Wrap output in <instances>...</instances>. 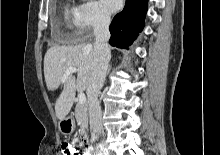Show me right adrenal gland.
Returning a JSON list of instances; mask_svg holds the SVG:
<instances>
[{
	"label": "right adrenal gland",
	"mask_w": 220,
	"mask_h": 155,
	"mask_svg": "<svg viewBox=\"0 0 220 155\" xmlns=\"http://www.w3.org/2000/svg\"><path fill=\"white\" fill-rule=\"evenodd\" d=\"M110 68H111V66L109 65V69H108V71H110Z\"/></svg>",
	"instance_id": "2a0ac1e0"
}]
</instances>
